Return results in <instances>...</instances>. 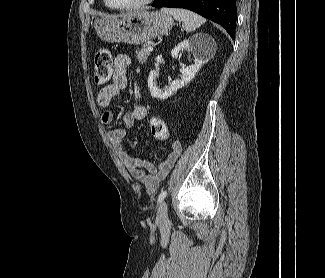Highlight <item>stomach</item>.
I'll return each instance as SVG.
<instances>
[{
	"label": "stomach",
	"instance_id": "stomach-1",
	"mask_svg": "<svg viewBox=\"0 0 325 278\" xmlns=\"http://www.w3.org/2000/svg\"><path fill=\"white\" fill-rule=\"evenodd\" d=\"M173 25L171 16L161 11L140 10L122 18L96 19L95 31L106 42L141 45L148 40L164 35Z\"/></svg>",
	"mask_w": 325,
	"mask_h": 278
}]
</instances>
